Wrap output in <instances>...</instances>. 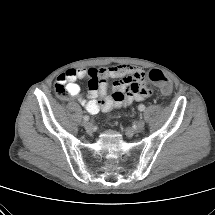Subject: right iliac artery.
Wrapping results in <instances>:
<instances>
[{"mask_svg": "<svg viewBox=\"0 0 215 215\" xmlns=\"http://www.w3.org/2000/svg\"><path fill=\"white\" fill-rule=\"evenodd\" d=\"M83 118H84L85 121L89 120V116H87V115H85Z\"/></svg>", "mask_w": 215, "mask_h": 215, "instance_id": "right-iliac-artery-1", "label": "right iliac artery"}]
</instances>
